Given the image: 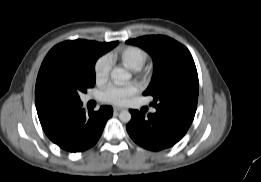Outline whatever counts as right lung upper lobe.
<instances>
[{
    "label": "right lung upper lobe",
    "mask_w": 261,
    "mask_h": 182,
    "mask_svg": "<svg viewBox=\"0 0 261 182\" xmlns=\"http://www.w3.org/2000/svg\"><path fill=\"white\" fill-rule=\"evenodd\" d=\"M112 43V42H111ZM111 43H98L87 40H70L60 43L53 47V50H63L69 52H81L85 49H89L93 46H101L107 48ZM35 104L38 113L39 120H43L50 115L55 109L61 107L62 104L57 103L48 97H46L39 89H35Z\"/></svg>",
    "instance_id": "1"
}]
</instances>
